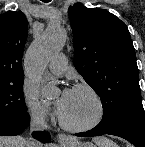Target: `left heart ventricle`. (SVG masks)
Returning a JSON list of instances; mask_svg holds the SVG:
<instances>
[{
    "label": "left heart ventricle",
    "instance_id": "obj_1",
    "mask_svg": "<svg viewBox=\"0 0 145 147\" xmlns=\"http://www.w3.org/2000/svg\"><path fill=\"white\" fill-rule=\"evenodd\" d=\"M95 114L96 105L91 95L83 90H72L61 116L69 124L81 125L92 120Z\"/></svg>",
    "mask_w": 145,
    "mask_h": 147
}]
</instances>
